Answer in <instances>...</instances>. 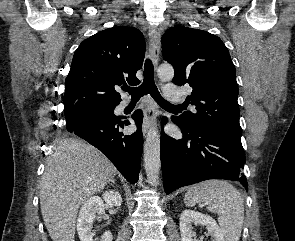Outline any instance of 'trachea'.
<instances>
[{"label":"trachea","instance_id":"3493384b","mask_svg":"<svg viewBox=\"0 0 295 241\" xmlns=\"http://www.w3.org/2000/svg\"><path fill=\"white\" fill-rule=\"evenodd\" d=\"M122 90L127 91L132 100H139L142 96L150 94L152 98L162 107L181 108L182 105H173L167 102L159 93L154 82V68L150 59L144 65V80L138 87L123 86Z\"/></svg>","mask_w":295,"mask_h":241}]
</instances>
